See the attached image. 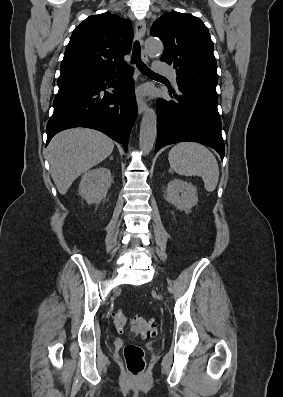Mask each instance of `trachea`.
<instances>
[{
    "label": "trachea",
    "instance_id": "1",
    "mask_svg": "<svg viewBox=\"0 0 283 397\" xmlns=\"http://www.w3.org/2000/svg\"><path fill=\"white\" fill-rule=\"evenodd\" d=\"M132 63H135L137 68L141 71V73L145 74L149 77H163L159 74L154 73L151 71L141 60V47L138 41L134 42L133 45V52H132Z\"/></svg>",
    "mask_w": 283,
    "mask_h": 397
}]
</instances>
